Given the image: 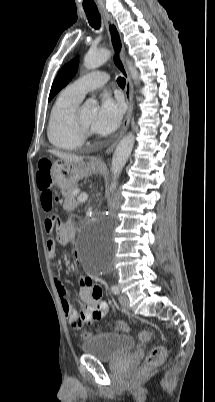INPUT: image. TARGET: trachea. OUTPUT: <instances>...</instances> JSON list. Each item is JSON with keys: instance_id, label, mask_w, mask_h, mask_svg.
<instances>
[{"instance_id": "3493384b", "label": "trachea", "mask_w": 215, "mask_h": 402, "mask_svg": "<svg viewBox=\"0 0 215 402\" xmlns=\"http://www.w3.org/2000/svg\"><path fill=\"white\" fill-rule=\"evenodd\" d=\"M85 13L89 24L96 30L101 27V17L97 9H85ZM117 83L120 87H125L126 80L123 77L117 78Z\"/></svg>"}]
</instances>
